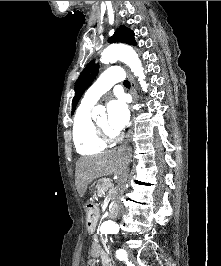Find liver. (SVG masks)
<instances>
[{
    "mask_svg": "<svg viewBox=\"0 0 221 266\" xmlns=\"http://www.w3.org/2000/svg\"><path fill=\"white\" fill-rule=\"evenodd\" d=\"M129 158V152L126 148L80 157L76 162L75 169V185L79 196H84L88 184L94 179L111 174L123 177L128 168Z\"/></svg>",
    "mask_w": 221,
    "mask_h": 266,
    "instance_id": "liver-1",
    "label": "liver"
}]
</instances>
